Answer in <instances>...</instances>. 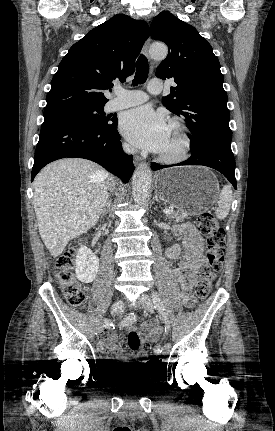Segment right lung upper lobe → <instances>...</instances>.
<instances>
[{
    "instance_id": "right-lung-upper-lobe-1",
    "label": "right lung upper lobe",
    "mask_w": 275,
    "mask_h": 431,
    "mask_svg": "<svg viewBox=\"0 0 275 431\" xmlns=\"http://www.w3.org/2000/svg\"><path fill=\"white\" fill-rule=\"evenodd\" d=\"M149 36L144 21L117 14L75 43L51 81L44 113L105 105L103 91L114 80L124 82L135 70V59Z\"/></svg>"
}]
</instances>
